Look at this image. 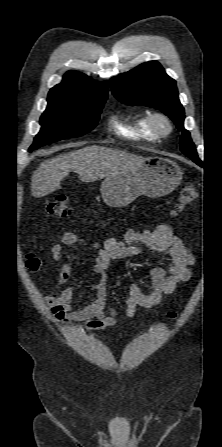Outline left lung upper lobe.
<instances>
[{"label":"left lung upper lobe","mask_w":222,"mask_h":447,"mask_svg":"<svg viewBox=\"0 0 222 447\" xmlns=\"http://www.w3.org/2000/svg\"><path fill=\"white\" fill-rule=\"evenodd\" d=\"M114 96L127 105H143L161 110L182 131L181 151L189 158L199 159L190 133L184 128V108L174 79L156 61H149L110 80Z\"/></svg>","instance_id":"obj_1"}]
</instances>
